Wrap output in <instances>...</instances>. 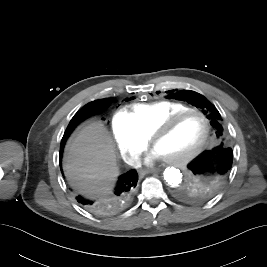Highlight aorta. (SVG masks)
Listing matches in <instances>:
<instances>
[{"instance_id":"1","label":"aorta","mask_w":267,"mask_h":267,"mask_svg":"<svg viewBox=\"0 0 267 267\" xmlns=\"http://www.w3.org/2000/svg\"><path fill=\"white\" fill-rule=\"evenodd\" d=\"M184 173L175 167H167L163 172L164 180L171 187H177L183 179Z\"/></svg>"}]
</instances>
